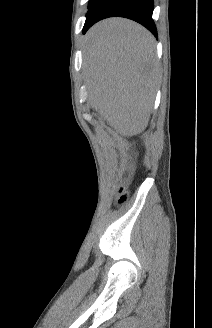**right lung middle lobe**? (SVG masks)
Listing matches in <instances>:
<instances>
[{
    "instance_id": "dd1d6c3e",
    "label": "right lung middle lobe",
    "mask_w": 212,
    "mask_h": 328,
    "mask_svg": "<svg viewBox=\"0 0 212 328\" xmlns=\"http://www.w3.org/2000/svg\"><path fill=\"white\" fill-rule=\"evenodd\" d=\"M97 1H98V0H89L88 11L91 9V7H92Z\"/></svg>"
}]
</instances>
